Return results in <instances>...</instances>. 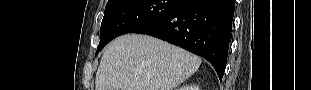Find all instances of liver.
Wrapping results in <instances>:
<instances>
[{
	"instance_id": "obj_1",
	"label": "liver",
	"mask_w": 311,
	"mask_h": 90,
	"mask_svg": "<svg viewBox=\"0 0 311 90\" xmlns=\"http://www.w3.org/2000/svg\"><path fill=\"white\" fill-rule=\"evenodd\" d=\"M201 63L198 56L157 38L123 35L106 48L95 90H173Z\"/></svg>"
}]
</instances>
